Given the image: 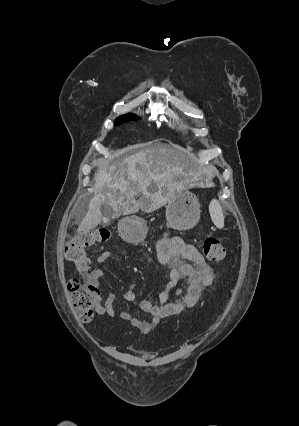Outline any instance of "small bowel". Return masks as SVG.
Masks as SVG:
<instances>
[{
  "mask_svg": "<svg viewBox=\"0 0 299 426\" xmlns=\"http://www.w3.org/2000/svg\"><path fill=\"white\" fill-rule=\"evenodd\" d=\"M156 250L159 262L168 269L169 279L165 289L160 293L159 304H154L149 300L138 301L134 289H129L124 294L126 301L150 315V319L136 318L130 311H122L116 315L114 310L116 296L114 294L105 296L101 292L100 285L104 272L102 269L96 268L88 274V281L97 290V312L100 315L110 318L118 317L142 334H147L159 324L161 319L180 314L185 308L194 306L200 299L203 290L213 283L214 271L211 265L194 245L186 243L181 237L164 234L157 242ZM111 255L109 250L103 251L96 258V264H105ZM182 279L187 280L185 298L169 301L170 293L178 289Z\"/></svg>",
  "mask_w": 299,
  "mask_h": 426,
  "instance_id": "1",
  "label": "small bowel"
}]
</instances>
